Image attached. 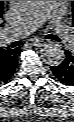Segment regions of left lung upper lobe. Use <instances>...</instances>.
<instances>
[{
	"mask_svg": "<svg viewBox=\"0 0 74 122\" xmlns=\"http://www.w3.org/2000/svg\"><path fill=\"white\" fill-rule=\"evenodd\" d=\"M73 20H74V1H73ZM73 27H74V21H73Z\"/></svg>",
	"mask_w": 74,
	"mask_h": 122,
	"instance_id": "left-lung-upper-lobe-1",
	"label": "left lung upper lobe"
}]
</instances>
